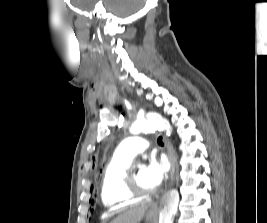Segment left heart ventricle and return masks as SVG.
<instances>
[{"label": "left heart ventricle", "instance_id": "1", "mask_svg": "<svg viewBox=\"0 0 267 223\" xmlns=\"http://www.w3.org/2000/svg\"><path fill=\"white\" fill-rule=\"evenodd\" d=\"M134 179L135 182L137 184V186L139 187V189L143 190V191H152L154 190V188L147 182L146 178H145V169L144 168H137L134 171Z\"/></svg>", "mask_w": 267, "mask_h": 223}]
</instances>
